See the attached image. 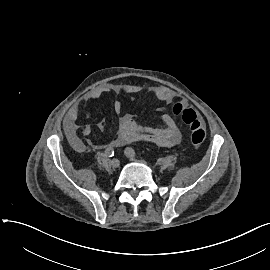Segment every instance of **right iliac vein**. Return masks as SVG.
<instances>
[{
	"label": "right iliac vein",
	"instance_id": "obj_1",
	"mask_svg": "<svg viewBox=\"0 0 270 270\" xmlns=\"http://www.w3.org/2000/svg\"><path fill=\"white\" fill-rule=\"evenodd\" d=\"M110 165L112 168H117L120 165V161L118 159H113L111 160Z\"/></svg>",
	"mask_w": 270,
	"mask_h": 270
}]
</instances>
